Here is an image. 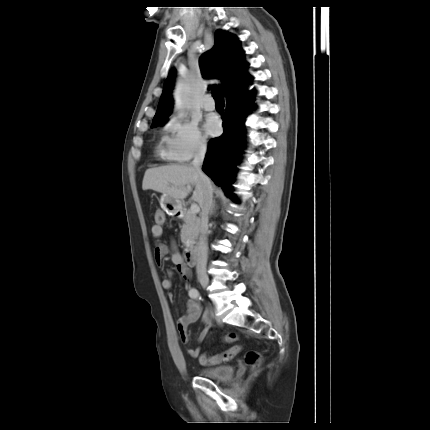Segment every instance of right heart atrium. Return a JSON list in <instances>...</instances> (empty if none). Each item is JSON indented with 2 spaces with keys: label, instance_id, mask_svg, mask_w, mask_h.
Listing matches in <instances>:
<instances>
[{
  "label": "right heart atrium",
  "instance_id": "d8ad5b80",
  "mask_svg": "<svg viewBox=\"0 0 430 430\" xmlns=\"http://www.w3.org/2000/svg\"><path fill=\"white\" fill-rule=\"evenodd\" d=\"M163 155L175 162H186L206 150V141L197 123L186 116H172L164 126Z\"/></svg>",
  "mask_w": 430,
  "mask_h": 430
}]
</instances>
